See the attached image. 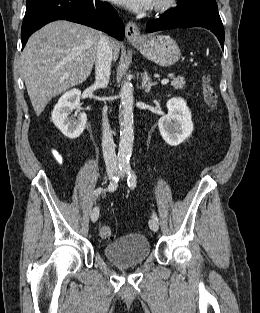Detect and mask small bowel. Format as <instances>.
Masks as SVG:
<instances>
[{
    "label": "small bowel",
    "mask_w": 260,
    "mask_h": 313,
    "mask_svg": "<svg viewBox=\"0 0 260 313\" xmlns=\"http://www.w3.org/2000/svg\"><path fill=\"white\" fill-rule=\"evenodd\" d=\"M52 155L55 157L57 161H61L59 154L56 151H52Z\"/></svg>",
    "instance_id": "obj_1"
}]
</instances>
